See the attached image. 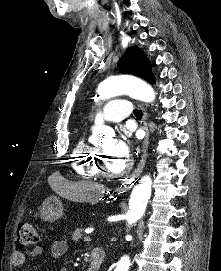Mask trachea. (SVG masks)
<instances>
[{"label": "trachea", "mask_w": 221, "mask_h": 271, "mask_svg": "<svg viewBox=\"0 0 221 271\" xmlns=\"http://www.w3.org/2000/svg\"><path fill=\"white\" fill-rule=\"evenodd\" d=\"M134 115H135V117L137 118V119H141L142 118V116H143V113H142V111L141 110H134Z\"/></svg>", "instance_id": "trachea-1"}]
</instances>
